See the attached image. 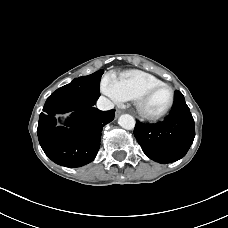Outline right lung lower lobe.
I'll list each match as a JSON object with an SVG mask.
<instances>
[{"label":"right lung lower lobe","mask_w":228,"mask_h":228,"mask_svg":"<svg viewBox=\"0 0 228 228\" xmlns=\"http://www.w3.org/2000/svg\"><path fill=\"white\" fill-rule=\"evenodd\" d=\"M72 112L65 126H56L55 114ZM115 110L101 111L59 96H49L40 114L38 139L55 163L80 167L94 160L103 127L114 119Z\"/></svg>","instance_id":"98d812e1"}]
</instances>
